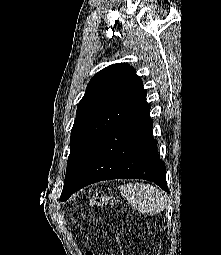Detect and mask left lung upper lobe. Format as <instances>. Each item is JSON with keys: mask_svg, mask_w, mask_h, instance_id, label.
<instances>
[{"mask_svg": "<svg viewBox=\"0 0 221 255\" xmlns=\"http://www.w3.org/2000/svg\"><path fill=\"white\" fill-rule=\"evenodd\" d=\"M146 98L142 80L126 63L99 71L77 106L61 201H66L110 130Z\"/></svg>", "mask_w": 221, "mask_h": 255, "instance_id": "5c2ea615", "label": "left lung upper lobe"}]
</instances>
